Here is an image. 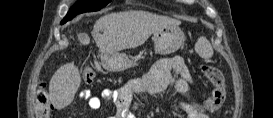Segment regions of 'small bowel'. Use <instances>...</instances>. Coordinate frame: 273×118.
I'll return each instance as SVG.
<instances>
[{
    "mask_svg": "<svg viewBox=\"0 0 273 118\" xmlns=\"http://www.w3.org/2000/svg\"><path fill=\"white\" fill-rule=\"evenodd\" d=\"M170 84H174L176 89L189 99L188 103H175L187 118H207L204 104L192 94L191 72L185 60L179 56L158 60L142 79L132 80L119 90L105 89L99 95H92L90 91L83 90L80 95L92 110L100 109L105 102H113L114 118H135L140 102L130 105L134 92L146 97H156Z\"/></svg>",
    "mask_w": 273,
    "mask_h": 118,
    "instance_id": "c3829d8e",
    "label": "small bowel"
}]
</instances>
